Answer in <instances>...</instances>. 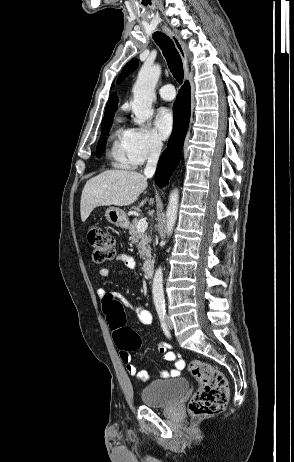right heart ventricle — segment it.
<instances>
[{"mask_svg": "<svg viewBox=\"0 0 294 462\" xmlns=\"http://www.w3.org/2000/svg\"><path fill=\"white\" fill-rule=\"evenodd\" d=\"M129 130L122 126H116L110 135V145L107 156L113 167L128 169L134 165L127 150Z\"/></svg>", "mask_w": 294, "mask_h": 462, "instance_id": "e07e8e85", "label": "right heart ventricle"}]
</instances>
